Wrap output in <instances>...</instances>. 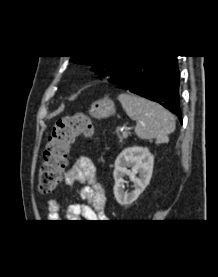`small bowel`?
I'll return each instance as SVG.
<instances>
[{
  "mask_svg": "<svg viewBox=\"0 0 218 277\" xmlns=\"http://www.w3.org/2000/svg\"><path fill=\"white\" fill-rule=\"evenodd\" d=\"M68 185L79 183L82 185L80 197L86 204L75 203L68 207L67 219L84 218L85 220H102L105 218L104 208L106 195L96 178V168L87 156H79L65 175ZM47 217L52 222L61 219L60 204L57 199H50L47 203Z\"/></svg>",
  "mask_w": 218,
  "mask_h": 277,
  "instance_id": "obj_1",
  "label": "small bowel"
}]
</instances>
